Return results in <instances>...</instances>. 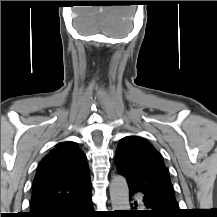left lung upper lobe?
Listing matches in <instances>:
<instances>
[{
	"label": "left lung upper lobe",
	"mask_w": 217,
	"mask_h": 217,
	"mask_svg": "<svg viewBox=\"0 0 217 217\" xmlns=\"http://www.w3.org/2000/svg\"><path fill=\"white\" fill-rule=\"evenodd\" d=\"M117 171L126 179L130 190L167 201L174 209L178 204L162 156L145 139L127 136L120 140L115 154Z\"/></svg>",
	"instance_id": "1"
}]
</instances>
